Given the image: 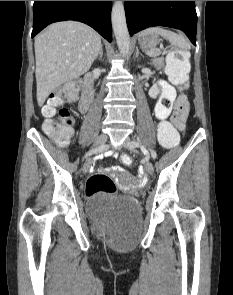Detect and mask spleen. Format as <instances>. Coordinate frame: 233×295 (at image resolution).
Masks as SVG:
<instances>
[{
	"label": "spleen",
	"instance_id": "spleen-1",
	"mask_svg": "<svg viewBox=\"0 0 233 295\" xmlns=\"http://www.w3.org/2000/svg\"><path fill=\"white\" fill-rule=\"evenodd\" d=\"M147 34H159L166 38L172 45L179 46L184 54L185 58H189L190 54L188 53V50L190 48L187 41L184 39L183 36L178 35L170 30L163 29L161 27H152L148 28L140 33V36L147 35ZM160 54V51L158 49H151L147 52V55L150 57H155Z\"/></svg>",
	"mask_w": 233,
	"mask_h": 295
}]
</instances>
